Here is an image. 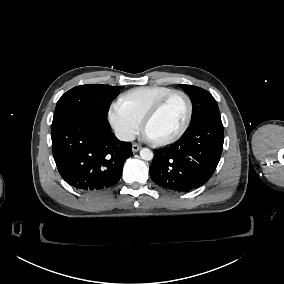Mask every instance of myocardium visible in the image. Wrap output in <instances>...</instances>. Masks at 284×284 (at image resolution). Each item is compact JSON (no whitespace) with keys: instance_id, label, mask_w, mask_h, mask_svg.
Here are the masks:
<instances>
[{"instance_id":"f54148a6","label":"myocardium","mask_w":284,"mask_h":284,"mask_svg":"<svg viewBox=\"0 0 284 284\" xmlns=\"http://www.w3.org/2000/svg\"><path fill=\"white\" fill-rule=\"evenodd\" d=\"M177 94H181L187 101L188 104V112H187V116L186 119L183 123V125L181 126V128L171 137L164 139V140H153L148 138L152 143H154L155 145L158 146H163V145H168L171 144L175 141H177L188 129L191 121H192V117H193V102L190 98V96L182 90H174L170 93H168L167 95H165L163 98H161L149 111L148 113L145 115V117L142 120V132L144 134H146V127L147 125L162 111V109L165 107V105L168 103V101L174 97Z\"/></svg>"}]
</instances>
